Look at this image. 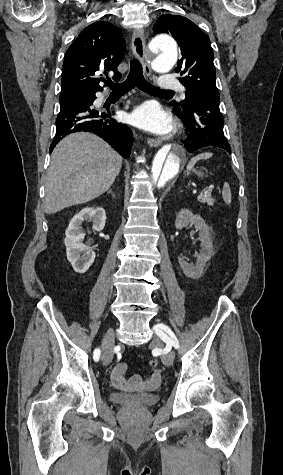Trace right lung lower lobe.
<instances>
[{"label":"right lung lower lobe","instance_id":"1","mask_svg":"<svg viewBox=\"0 0 283 475\" xmlns=\"http://www.w3.org/2000/svg\"><path fill=\"white\" fill-rule=\"evenodd\" d=\"M95 94L73 97L60 102L56 119V134L50 152L56 144L74 132H92L107 141L124 158H128L133 142L132 132L126 125L111 118L113 111L102 112L92 107Z\"/></svg>","mask_w":283,"mask_h":475}]
</instances>
